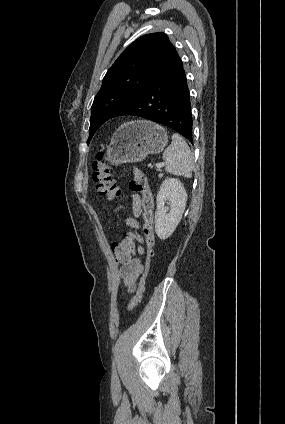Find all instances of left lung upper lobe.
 <instances>
[{"instance_id":"5c2ea615","label":"left lung upper lobe","mask_w":285,"mask_h":424,"mask_svg":"<svg viewBox=\"0 0 285 424\" xmlns=\"http://www.w3.org/2000/svg\"><path fill=\"white\" fill-rule=\"evenodd\" d=\"M174 51L166 34L158 32L141 36L122 52L94 98L87 143L103 123L159 76Z\"/></svg>"}]
</instances>
